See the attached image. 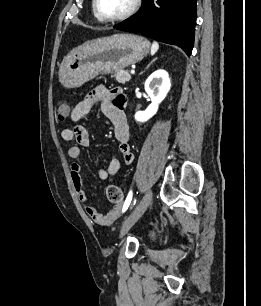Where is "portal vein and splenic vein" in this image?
<instances>
[{"instance_id": "18ae733b", "label": "portal vein and splenic vein", "mask_w": 261, "mask_h": 306, "mask_svg": "<svg viewBox=\"0 0 261 306\" xmlns=\"http://www.w3.org/2000/svg\"><path fill=\"white\" fill-rule=\"evenodd\" d=\"M130 73H131V74H135V71H134V70H131Z\"/></svg>"}]
</instances>
